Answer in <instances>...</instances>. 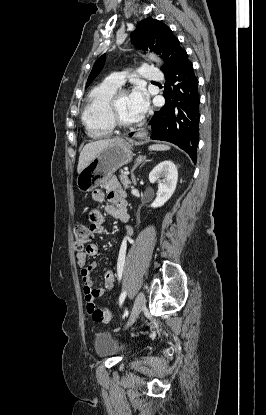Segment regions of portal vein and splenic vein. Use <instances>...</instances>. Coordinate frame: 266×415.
<instances>
[{
	"instance_id": "18ae733b",
	"label": "portal vein and splenic vein",
	"mask_w": 266,
	"mask_h": 415,
	"mask_svg": "<svg viewBox=\"0 0 266 415\" xmlns=\"http://www.w3.org/2000/svg\"><path fill=\"white\" fill-rule=\"evenodd\" d=\"M124 174L128 175V174H129V171H128V170H126V171L124 172Z\"/></svg>"
}]
</instances>
